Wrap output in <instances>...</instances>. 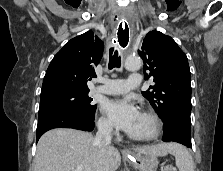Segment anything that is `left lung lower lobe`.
I'll list each match as a JSON object with an SVG mask.
<instances>
[{"label":"left lung lower lobe","mask_w":223,"mask_h":171,"mask_svg":"<svg viewBox=\"0 0 223 171\" xmlns=\"http://www.w3.org/2000/svg\"><path fill=\"white\" fill-rule=\"evenodd\" d=\"M163 141L181 143L189 148L191 144V120L175 115L164 122Z\"/></svg>","instance_id":"obj_1"}]
</instances>
